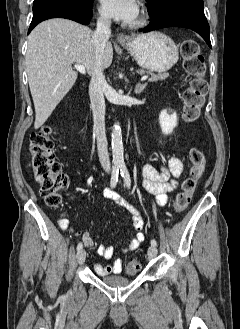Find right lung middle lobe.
<instances>
[{"label":"right lung middle lobe","mask_w":240,"mask_h":329,"mask_svg":"<svg viewBox=\"0 0 240 329\" xmlns=\"http://www.w3.org/2000/svg\"><path fill=\"white\" fill-rule=\"evenodd\" d=\"M94 0H35L33 5L42 3L62 4L70 7L85 8L92 7Z\"/></svg>","instance_id":"right-lung-middle-lobe-1"}]
</instances>
